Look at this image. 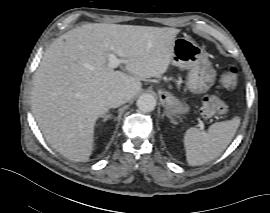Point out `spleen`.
I'll return each mask as SVG.
<instances>
[{"mask_svg":"<svg viewBox=\"0 0 270 213\" xmlns=\"http://www.w3.org/2000/svg\"><path fill=\"white\" fill-rule=\"evenodd\" d=\"M240 118L212 124L207 132L190 128L184 135L186 160L191 166H198L217 158L230 144L238 127Z\"/></svg>","mask_w":270,"mask_h":213,"instance_id":"spleen-1","label":"spleen"}]
</instances>
